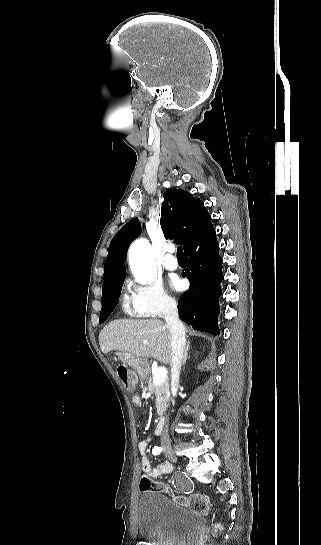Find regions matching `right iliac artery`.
Wrapping results in <instances>:
<instances>
[{
    "mask_svg": "<svg viewBox=\"0 0 321 545\" xmlns=\"http://www.w3.org/2000/svg\"><path fill=\"white\" fill-rule=\"evenodd\" d=\"M161 452H162V448H160V447H157V446H156V447H154V448L152 449L153 455H159V454H161Z\"/></svg>",
    "mask_w": 321,
    "mask_h": 545,
    "instance_id": "1",
    "label": "right iliac artery"
}]
</instances>
